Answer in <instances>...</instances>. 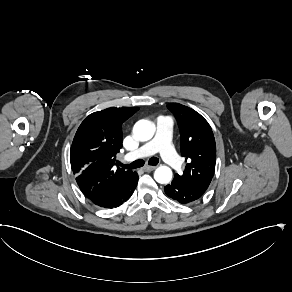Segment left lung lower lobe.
<instances>
[{
  "label": "left lung lower lobe",
  "instance_id": "left-lung-lower-lobe-1",
  "mask_svg": "<svg viewBox=\"0 0 292 292\" xmlns=\"http://www.w3.org/2000/svg\"><path fill=\"white\" fill-rule=\"evenodd\" d=\"M165 193L172 199L178 201L181 204H187L197 201L204 194L201 191H197L188 188L182 184L172 181L171 184L165 186Z\"/></svg>",
  "mask_w": 292,
  "mask_h": 292
}]
</instances>
